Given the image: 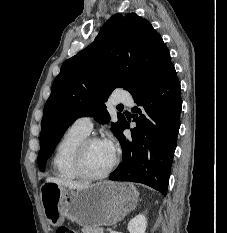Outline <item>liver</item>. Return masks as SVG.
<instances>
[{
    "label": "liver",
    "instance_id": "liver-1",
    "mask_svg": "<svg viewBox=\"0 0 227 233\" xmlns=\"http://www.w3.org/2000/svg\"><path fill=\"white\" fill-rule=\"evenodd\" d=\"M46 182H52L57 185L63 186L65 188L71 189V190H80L86 187H89L91 184L89 182H75L71 180H67L64 178H58V177H48L46 179Z\"/></svg>",
    "mask_w": 227,
    "mask_h": 233
}]
</instances>
